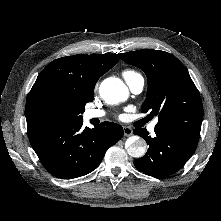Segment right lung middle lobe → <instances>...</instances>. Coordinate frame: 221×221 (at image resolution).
I'll use <instances>...</instances> for the list:
<instances>
[{
  "label": "right lung middle lobe",
  "mask_w": 221,
  "mask_h": 221,
  "mask_svg": "<svg viewBox=\"0 0 221 221\" xmlns=\"http://www.w3.org/2000/svg\"><path fill=\"white\" fill-rule=\"evenodd\" d=\"M85 106L74 105L60 98L49 99L44 105L47 126L68 125L83 121Z\"/></svg>",
  "instance_id": "1"
}]
</instances>
